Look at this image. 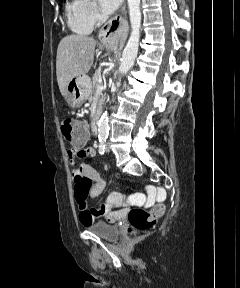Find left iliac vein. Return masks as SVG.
<instances>
[{
  "label": "left iliac vein",
  "instance_id": "left-iliac-vein-1",
  "mask_svg": "<svg viewBox=\"0 0 240 288\" xmlns=\"http://www.w3.org/2000/svg\"><path fill=\"white\" fill-rule=\"evenodd\" d=\"M106 152H108V153L110 152V147H109V145L106 146Z\"/></svg>",
  "mask_w": 240,
  "mask_h": 288
}]
</instances>
